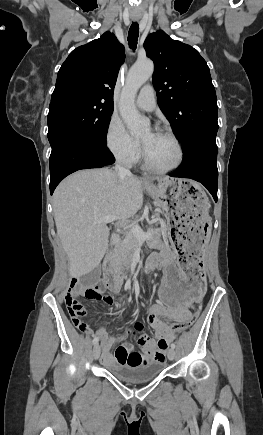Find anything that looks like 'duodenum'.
Listing matches in <instances>:
<instances>
[{
    "label": "duodenum",
    "mask_w": 263,
    "mask_h": 435,
    "mask_svg": "<svg viewBox=\"0 0 263 435\" xmlns=\"http://www.w3.org/2000/svg\"><path fill=\"white\" fill-rule=\"evenodd\" d=\"M104 270L109 288L113 290L118 289L120 286L121 277L115 268L113 252L107 253L104 261Z\"/></svg>",
    "instance_id": "obj_1"
}]
</instances>
